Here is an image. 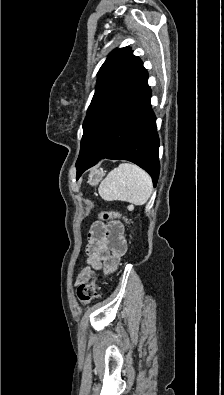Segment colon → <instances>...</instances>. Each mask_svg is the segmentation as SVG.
<instances>
[{"label": "colon", "mask_w": 224, "mask_h": 395, "mask_svg": "<svg viewBox=\"0 0 224 395\" xmlns=\"http://www.w3.org/2000/svg\"><path fill=\"white\" fill-rule=\"evenodd\" d=\"M99 217L108 222L110 229L114 233H117L118 225H116L115 222H119V219H123L122 216L114 212L102 211L99 213ZM77 296L80 302L85 305L91 303L98 296L97 277L95 274L92 275L89 281L83 282L78 286Z\"/></svg>", "instance_id": "5ec220e1"}]
</instances>
